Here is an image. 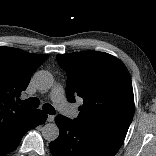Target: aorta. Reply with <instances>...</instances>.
<instances>
[{
    "instance_id": "obj_1",
    "label": "aorta",
    "mask_w": 156,
    "mask_h": 156,
    "mask_svg": "<svg viewBox=\"0 0 156 156\" xmlns=\"http://www.w3.org/2000/svg\"><path fill=\"white\" fill-rule=\"evenodd\" d=\"M33 80L40 90H48L53 85V76L50 72L41 70L34 74ZM42 136L45 140L52 142L59 136V128L55 123H47L42 128Z\"/></svg>"
}]
</instances>
